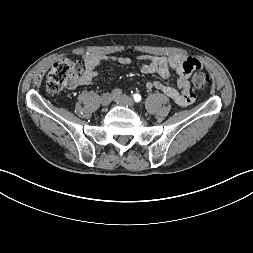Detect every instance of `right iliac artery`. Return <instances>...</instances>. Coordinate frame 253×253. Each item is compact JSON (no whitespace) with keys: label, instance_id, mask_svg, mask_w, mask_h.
Wrapping results in <instances>:
<instances>
[{"label":"right iliac artery","instance_id":"1","mask_svg":"<svg viewBox=\"0 0 253 253\" xmlns=\"http://www.w3.org/2000/svg\"><path fill=\"white\" fill-rule=\"evenodd\" d=\"M121 94H122V91L119 88L112 90L113 97L120 96Z\"/></svg>","mask_w":253,"mask_h":253}]
</instances>
